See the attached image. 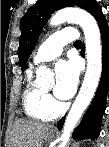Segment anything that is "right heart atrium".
<instances>
[{"mask_svg": "<svg viewBox=\"0 0 109 147\" xmlns=\"http://www.w3.org/2000/svg\"><path fill=\"white\" fill-rule=\"evenodd\" d=\"M46 101L51 104L53 103V99L49 96V95H46Z\"/></svg>", "mask_w": 109, "mask_h": 147, "instance_id": "1", "label": "right heart atrium"}]
</instances>
